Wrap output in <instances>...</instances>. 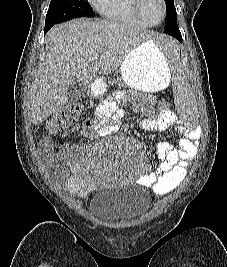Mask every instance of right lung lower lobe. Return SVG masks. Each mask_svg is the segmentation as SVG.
<instances>
[{"label": "right lung lower lobe", "mask_w": 227, "mask_h": 267, "mask_svg": "<svg viewBox=\"0 0 227 267\" xmlns=\"http://www.w3.org/2000/svg\"><path fill=\"white\" fill-rule=\"evenodd\" d=\"M53 26V24H47L45 25V33Z\"/></svg>", "instance_id": "obj_1"}]
</instances>
